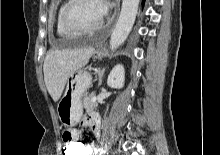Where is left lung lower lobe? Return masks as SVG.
<instances>
[{"label": "left lung lower lobe", "mask_w": 220, "mask_h": 155, "mask_svg": "<svg viewBox=\"0 0 220 155\" xmlns=\"http://www.w3.org/2000/svg\"><path fill=\"white\" fill-rule=\"evenodd\" d=\"M145 0H142V6L144 5Z\"/></svg>", "instance_id": "1"}]
</instances>
